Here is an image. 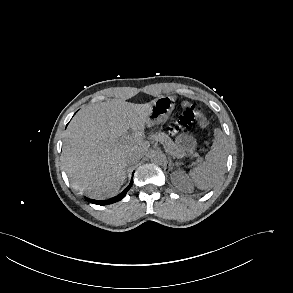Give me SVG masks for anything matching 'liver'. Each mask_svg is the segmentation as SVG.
<instances>
[{"label": "liver", "mask_w": 293, "mask_h": 293, "mask_svg": "<svg viewBox=\"0 0 293 293\" xmlns=\"http://www.w3.org/2000/svg\"><path fill=\"white\" fill-rule=\"evenodd\" d=\"M155 100L135 104L108 100L81 109L71 120L62 147V158L71 185L96 198L114 196L126 177V155L147 152L145 124ZM129 128L135 137L122 139Z\"/></svg>", "instance_id": "obj_1"}]
</instances>
